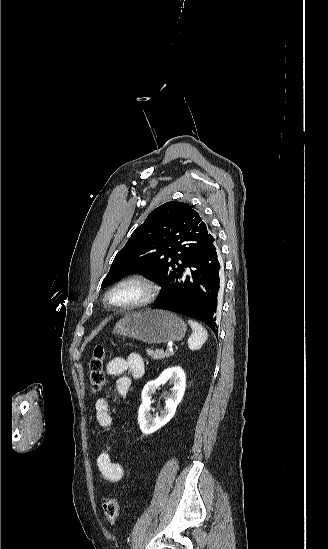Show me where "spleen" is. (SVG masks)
I'll list each match as a JSON object with an SVG mask.
<instances>
[{"instance_id":"spleen-1","label":"spleen","mask_w":328,"mask_h":549,"mask_svg":"<svg viewBox=\"0 0 328 549\" xmlns=\"http://www.w3.org/2000/svg\"><path fill=\"white\" fill-rule=\"evenodd\" d=\"M188 323L193 331L188 339V347L191 351H198V349H201L204 343H206L208 333L206 329H204L202 325H199V323H196V321H188Z\"/></svg>"}]
</instances>
